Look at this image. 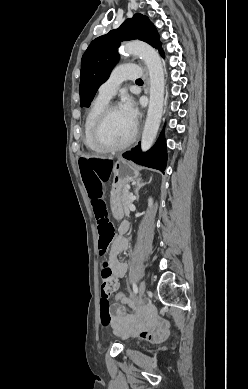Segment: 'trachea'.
I'll return each mask as SVG.
<instances>
[{"mask_svg":"<svg viewBox=\"0 0 248 389\" xmlns=\"http://www.w3.org/2000/svg\"><path fill=\"white\" fill-rule=\"evenodd\" d=\"M136 81H140L141 82L142 80L141 79H137Z\"/></svg>","mask_w":248,"mask_h":389,"instance_id":"1","label":"trachea"}]
</instances>
